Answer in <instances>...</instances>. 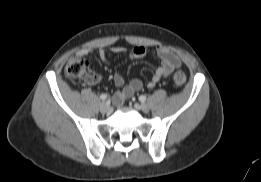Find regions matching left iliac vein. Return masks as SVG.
I'll use <instances>...</instances> for the list:
<instances>
[{
  "label": "left iliac vein",
  "instance_id": "1",
  "mask_svg": "<svg viewBox=\"0 0 261 182\" xmlns=\"http://www.w3.org/2000/svg\"><path fill=\"white\" fill-rule=\"evenodd\" d=\"M134 107L138 110L143 111L144 113H148L149 112V106L145 103H141V104H134Z\"/></svg>",
  "mask_w": 261,
  "mask_h": 182
}]
</instances>
